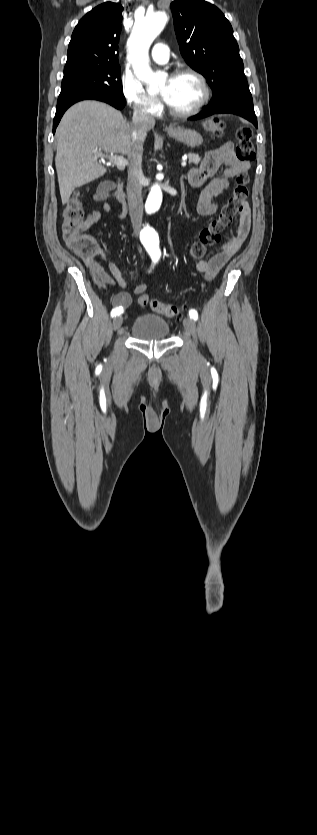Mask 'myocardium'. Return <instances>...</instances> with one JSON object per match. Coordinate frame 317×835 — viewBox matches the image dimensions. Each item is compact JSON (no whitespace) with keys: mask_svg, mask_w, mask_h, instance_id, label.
Listing matches in <instances>:
<instances>
[{"mask_svg":"<svg viewBox=\"0 0 317 835\" xmlns=\"http://www.w3.org/2000/svg\"><path fill=\"white\" fill-rule=\"evenodd\" d=\"M180 76H191L194 79H196V81L198 82V84L200 86V90H201L200 98L198 99L197 103L189 110H185V111L175 110L167 102H166V107H167L168 112L172 116L177 117V118H188V117H191V116H194V115L198 114L203 109V107L206 105V103L208 102L209 97H210V88H209V85L207 83L206 78L200 72H198L195 69L180 68L173 73L172 78L180 77Z\"/></svg>","mask_w":317,"mask_h":835,"instance_id":"f54148a6","label":"myocardium"}]
</instances>
